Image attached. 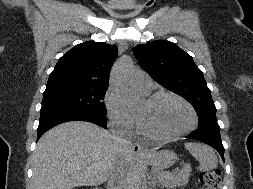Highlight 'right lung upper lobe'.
<instances>
[{
	"mask_svg": "<svg viewBox=\"0 0 253 189\" xmlns=\"http://www.w3.org/2000/svg\"><path fill=\"white\" fill-rule=\"evenodd\" d=\"M116 57V45L92 41L78 44L59 59L46 89L60 86L108 87L110 69Z\"/></svg>",
	"mask_w": 253,
	"mask_h": 189,
	"instance_id": "obj_1",
	"label": "right lung upper lobe"
}]
</instances>
